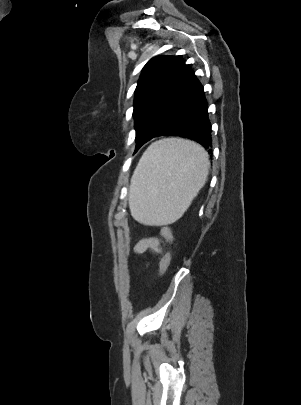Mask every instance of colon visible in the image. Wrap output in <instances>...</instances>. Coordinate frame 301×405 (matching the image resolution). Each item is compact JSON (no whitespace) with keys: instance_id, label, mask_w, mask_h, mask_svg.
Here are the masks:
<instances>
[{"instance_id":"colon-1","label":"colon","mask_w":301,"mask_h":405,"mask_svg":"<svg viewBox=\"0 0 301 405\" xmlns=\"http://www.w3.org/2000/svg\"><path fill=\"white\" fill-rule=\"evenodd\" d=\"M161 235L165 238V240L167 241V243L170 247V245L172 244L173 239H174L173 233H172V230L170 229V227L163 226L161 228ZM170 261H171V252H170V249L168 248L160 261V265H159V276L160 277H162L166 273V271L170 265Z\"/></svg>"}]
</instances>
